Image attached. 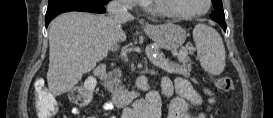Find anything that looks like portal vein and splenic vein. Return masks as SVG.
<instances>
[{
	"label": "portal vein and splenic vein",
	"instance_id": "18ae733b",
	"mask_svg": "<svg viewBox=\"0 0 273 118\" xmlns=\"http://www.w3.org/2000/svg\"><path fill=\"white\" fill-rule=\"evenodd\" d=\"M149 58H150V60H153V59H154L153 56H152L151 54H149Z\"/></svg>",
	"mask_w": 273,
	"mask_h": 118
}]
</instances>
